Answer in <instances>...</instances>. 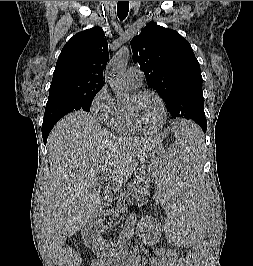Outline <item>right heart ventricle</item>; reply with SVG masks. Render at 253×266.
<instances>
[{"label": "right heart ventricle", "instance_id": "obj_1", "mask_svg": "<svg viewBox=\"0 0 253 266\" xmlns=\"http://www.w3.org/2000/svg\"><path fill=\"white\" fill-rule=\"evenodd\" d=\"M132 90L138 87L130 85ZM111 129L119 134L130 135L136 134L137 131L132 127L127 113L126 102L117 100L115 110L108 124Z\"/></svg>", "mask_w": 253, "mask_h": 266}]
</instances>
